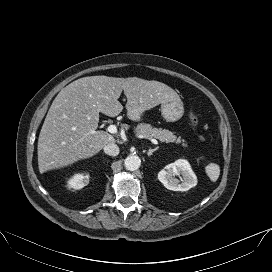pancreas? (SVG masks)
I'll return each instance as SVG.
<instances>
[{"mask_svg": "<svg viewBox=\"0 0 272 272\" xmlns=\"http://www.w3.org/2000/svg\"><path fill=\"white\" fill-rule=\"evenodd\" d=\"M135 132L139 135L152 137L166 143L181 144L183 148L187 147V142L181 137H177L174 132L166 129L154 128L150 124L141 123L135 128Z\"/></svg>", "mask_w": 272, "mask_h": 272, "instance_id": "obj_1", "label": "pancreas"}]
</instances>
